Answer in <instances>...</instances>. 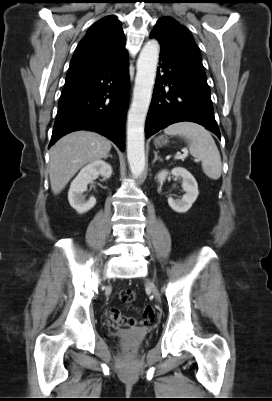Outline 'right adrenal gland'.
<instances>
[{"label":"right adrenal gland","instance_id":"right-adrenal-gland-1","mask_svg":"<svg viewBox=\"0 0 272 401\" xmlns=\"http://www.w3.org/2000/svg\"><path fill=\"white\" fill-rule=\"evenodd\" d=\"M108 157L112 158L113 156L110 154V155H108L106 158H108Z\"/></svg>","mask_w":272,"mask_h":401}]
</instances>
